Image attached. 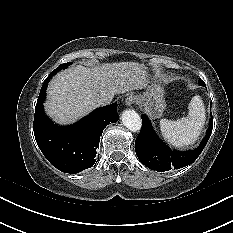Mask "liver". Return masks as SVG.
I'll use <instances>...</instances> for the list:
<instances>
[{
	"instance_id": "6515ba94",
	"label": "liver",
	"mask_w": 233,
	"mask_h": 233,
	"mask_svg": "<svg viewBox=\"0 0 233 233\" xmlns=\"http://www.w3.org/2000/svg\"><path fill=\"white\" fill-rule=\"evenodd\" d=\"M146 81L145 66L136 62L73 66L50 81L45 111L56 123L72 124L99 107L100 97L142 89Z\"/></svg>"
}]
</instances>
